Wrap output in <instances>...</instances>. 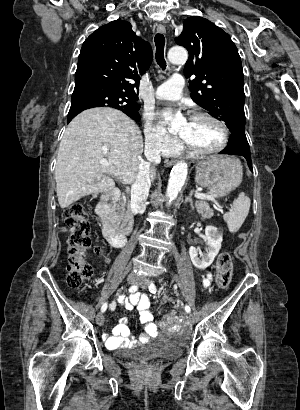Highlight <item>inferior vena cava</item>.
<instances>
[{
  "mask_svg": "<svg viewBox=\"0 0 300 410\" xmlns=\"http://www.w3.org/2000/svg\"><path fill=\"white\" fill-rule=\"evenodd\" d=\"M152 144L151 141L146 142L145 155L148 161L141 160L138 166L137 177L131 187V209L140 214L144 213L146 209L145 202L149 195L151 185L150 166L151 164L155 166L161 161L160 149H150Z\"/></svg>",
  "mask_w": 300,
  "mask_h": 410,
  "instance_id": "602c4592",
  "label": "inferior vena cava"
}]
</instances>
